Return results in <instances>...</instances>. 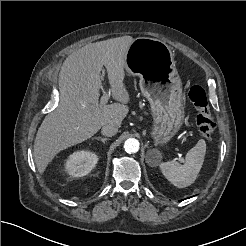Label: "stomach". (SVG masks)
Here are the masks:
<instances>
[{
  "instance_id": "1",
  "label": "stomach",
  "mask_w": 246,
  "mask_h": 246,
  "mask_svg": "<svg viewBox=\"0 0 246 246\" xmlns=\"http://www.w3.org/2000/svg\"><path fill=\"white\" fill-rule=\"evenodd\" d=\"M173 56L165 42L148 37L134 39L126 54L125 69L140 78L141 92L150 103L156 145L169 142L184 120L182 82Z\"/></svg>"
}]
</instances>
